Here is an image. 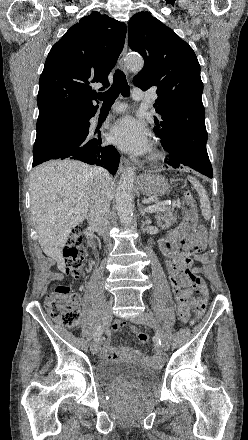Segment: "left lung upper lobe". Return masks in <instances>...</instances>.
Returning a JSON list of instances; mask_svg holds the SVG:
<instances>
[{"label": "left lung upper lobe", "instance_id": "5c2ea615", "mask_svg": "<svg viewBox=\"0 0 248 440\" xmlns=\"http://www.w3.org/2000/svg\"><path fill=\"white\" fill-rule=\"evenodd\" d=\"M128 45L144 58L134 85L144 91L156 88L154 107L162 121H156L154 131L162 145L176 140L206 145L203 83L193 49L148 12L130 19Z\"/></svg>", "mask_w": 248, "mask_h": 440}]
</instances>
